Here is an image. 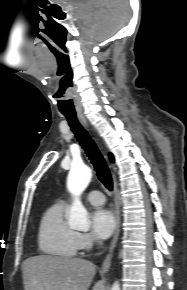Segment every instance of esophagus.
I'll list each match as a JSON object with an SVG mask.
<instances>
[{
    "mask_svg": "<svg viewBox=\"0 0 187 290\" xmlns=\"http://www.w3.org/2000/svg\"><path fill=\"white\" fill-rule=\"evenodd\" d=\"M78 119L83 126L88 127V122L83 114L79 113ZM113 183H114V197H115L116 228H115L113 239H112L110 247H109V252H108L105 260L102 263V267H101L102 273H106L110 268L112 252L117 244L119 233H120V203L118 200V184H117V179H116L115 175H113Z\"/></svg>",
    "mask_w": 187,
    "mask_h": 290,
    "instance_id": "esophagus-1",
    "label": "esophagus"
}]
</instances>
